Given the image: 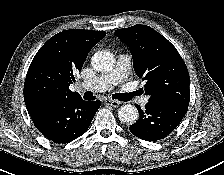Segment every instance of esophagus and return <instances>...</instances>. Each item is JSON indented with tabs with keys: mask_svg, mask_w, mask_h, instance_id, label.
I'll list each match as a JSON object with an SVG mask.
<instances>
[{
	"mask_svg": "<svg viewBox=\"0 0 224 175\" xmlns=\"http://www.w3.org/2000/svg\"><path fill=\"white\" fill-rule=\"evenodd\" d=\"M105 103H106L107 105L111 106V107H114V108L118 107V106L121 104L119 101L112 100V99H107V100L105 101Z\"/></svg>",
	"mask_w": 224,
	"mask_h": 175,
	"instance_id": "1",
	"label": "esophagus"
}]
</instances>
